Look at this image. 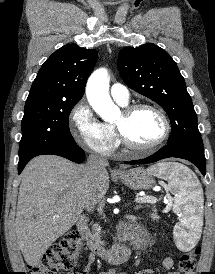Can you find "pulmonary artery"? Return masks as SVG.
Segmentation results:
<instances>
[{
	"label": "pulmonary artery",
	"instance_id": "pulmonary-artery-1",
	"mask_svg": "<svg viewBox=\"0 0 215 274\" xmlns=\"http://www.w3.org/2000/svg\"><path fill=\"white\" fill-rule=\"evenodd\" d=\"M110 94L112 98L120 104H127L129 101V91L120 83H114L111 86Z\"/></svg>",
	"mask_w": 215,
	"mask_h": 274
}]
</instances>
